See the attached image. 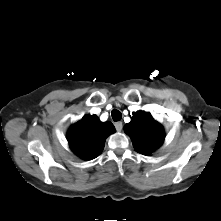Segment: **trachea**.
Segmentation results:
<instances>
[{
  "label": "trachea",
  "mask_w": 221,
  "mask_h": 221,
  "mask_svg": "<svg viewBox=\"0 0 221 221\" xmlns=\"http://www.w3.org/2000/svg\"><path fill=\"white\" fill-rule=\"evenodd\" d=\"M111 115L114 121H119L122 118L121 112L117 109L112 110Z\"/></svg>",
  "instance_id": "1"
}]
</instances>
